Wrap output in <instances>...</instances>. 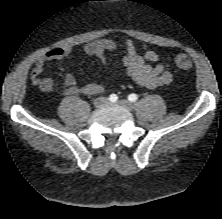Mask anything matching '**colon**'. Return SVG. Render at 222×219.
Listing matches in <instances>:
<instances>
[{"label":"colon","mask_w":222,"mask_h":219,"mask_svg":"<svg viewBox=\"0 0 222 219\" xmlns=\"http://www.w3.org/2000/svg\"><path fill=\"white\" fill-rule=\"evenodd\" d=\"M174 63L176 67L180 70H191L193 68V64L189 56L183 53H176L174 54Z\"/></svg>","instance_id":"colon-1"}]
</instances>
